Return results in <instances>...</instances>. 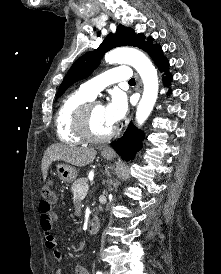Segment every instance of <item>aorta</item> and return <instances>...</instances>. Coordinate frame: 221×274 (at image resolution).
I'll return each instance as SVG.
<instances>
[{"mask_svg": "<svg viewBox=\"0 0 221 274\" xmlns=\"http://www.w3.org/2000/svg\"><path fill=\"white\" fill-rule=\"evenodd\" d=\"M105 61L109 64H129L139 73L144 90L137 106L136 121L138 125H142L149 117L158 96L159 85L155 67L143 52L133 48L114 49L105 55Z\"/></svg>", "mask_w": 221, "mask_h": 274, "instance_id": "1", "label": "aorta"}]
</instances>
